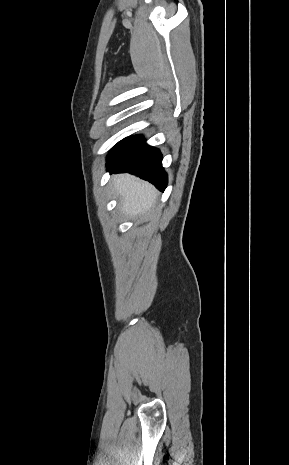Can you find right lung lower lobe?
Returning <instances> with one entry per match:
<instances>
[{
    "label": "right lung lower lobe",
    "mask_w": 289,
    "mask_h": 465,
    "mask_svg": "<svg viewBox=\"0 0 289 465\" xmlns=\"http://www.w3.org/2000/svg\"><path fill=\"white\" fill-rule=\"evenodd\" d=\"M110 173L129 172L154 184L160 191L167 186V174L162 167V155L142 139L141 142L118 162H107Z\"/></svg>",
    "instance_id": "right-lung-lower-lobe-1"
}]
</instances>
